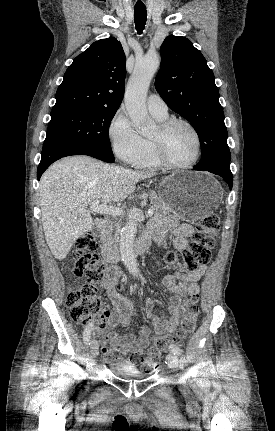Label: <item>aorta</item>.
<instances>
[{"label": "aorta", "mask_w": 275, "mask_h": 431, "mask_svg": "<svg viewBox=\"0 0 275 431\" xmlns=\"http://www.w3.org/2000/svg\"><path fill=\"white\" fill-rule=\"evenodd\" d=\"M160 65V57L156 53L146 54L136 62L134 71L125 91V107L138 132L147 136L151 133L154 123L146 108V95L150 82ZM137 232V221L131 219L121 231L120 254L128 271L138 276L139 269L134 255V240Z\"/></svg>", "instance_id": "aorta-1"}]
</instances>
